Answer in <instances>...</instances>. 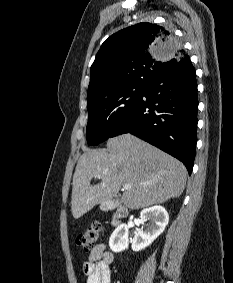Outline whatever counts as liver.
Returning <instances> with one entry per match:
<instances>
[{
	"mask_svg": "<svg viewBox=\"0 0 233 283\" xmlns=\"http://www.w3.org/2000/svg\"><path fill=\"white\" fill-rule=\"evenodd\" d=\"M101 182L92 186V178ZM187 170L176 158L147 142L123 134L110 138L105 150H88L77 162L73 175L71 211L80 218L96 204L117 195L124 184L121 202L130 209L162 204L179 197L186 186Z\"/></svg>",
	"mask_w": 233,
	"mask_h": 283,
	"instance_id": "obj_1",
	"label": "liver"
}]
</instances>
